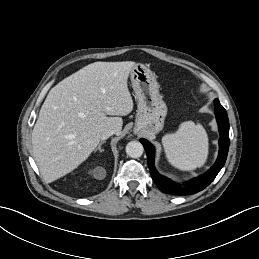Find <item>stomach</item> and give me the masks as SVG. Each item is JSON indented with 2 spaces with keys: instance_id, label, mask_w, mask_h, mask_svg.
I'll use <instances>...</instances> for the list:
<instances>
[{
  "instance_id": "0dacf381",
  "label": "stomach",
  "mask_w": 259,
  "mask_h": 259,
  "mask_svg": "<svg viewBox=\"0 0 259 259\" xmlns=\"http://www.w3.org/2000/svg\"><path fill=\"white\" fill-rule=\"evenodd\" d=\"M132 88L137 100L134 131L156 134L164 127L167 106L159 93L158 82L150 69L136 64L130 71Z\"/></svg>"
}]
</instances>
